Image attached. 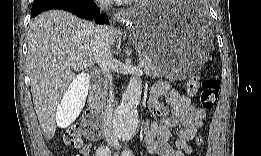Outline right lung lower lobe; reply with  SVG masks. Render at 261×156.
Here are the masks:
<instances>
[{"instance_id":"98d812e1","label":"right lung lower lobe","mask_w":261,"mask_h":156,"mask_svg":"<svg viewBox=\"0 0 261 156\" xmlns=\"http://www.w3.org/2000/svg\"><path fill=\"white\" fill-rule=\"evenodd\" d=\"M51 9H61L83 19H95L99 23H108L107 17L99 15L100 9L93 0H53L51 2L33 4L31 15L36 16L43 11Z\"/></svg>"}]
</instances>
